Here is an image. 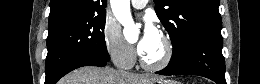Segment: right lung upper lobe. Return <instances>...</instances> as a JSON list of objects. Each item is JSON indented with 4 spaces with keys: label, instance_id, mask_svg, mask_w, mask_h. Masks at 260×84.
I'll return each mask as SVG.
<instances>
[{
    "label": "right lung upper lobe",
    "instance_id": "right-lung-upper-lobe-1",
    "mask_svg": "<svg viewBox=\"0 0 260 84\" xmlns=\"http://www.w3.org/2000/svg\"><path fill=\"white\" fill-rule=\"evenodd\" d=\"M107 0H51L48 27L106 12Z\"/></svg>",
    "mask_w": 260,
    "mask_h": 84
}]
</instances>
